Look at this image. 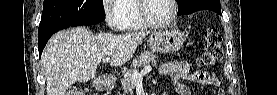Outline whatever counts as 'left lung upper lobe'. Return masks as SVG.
Segmentation results:
<instances>
[{
  "instance_id": "obj_1",
  "label": "left lung upper lobe",
  "mask_w": 277,
  "mask_h": 95,
  "mask_svg": "<svg viewBox=\"0 0 277 95\" xmlns=\"http://www.w3.org/2000/svg\"><path fill=\"white\" fill-rule=\"evenodd\" d=\"M178 15H187L199 10H212L221 14L220 0H176Z\"/></svg>"
}]
</instances>
